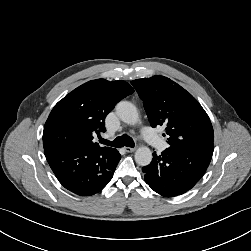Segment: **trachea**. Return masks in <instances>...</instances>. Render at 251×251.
Segmentation results:
<instances>
[{
  "instance_id": "3493384b",
  "label": "trachea",
  "mask_w": 251,
  "mask_h": 251,
  "mask_svg": "<svg viewBox=\"0 0 251 251\" xmlns=\"http://www.w3.org/2000/svg\"><path fill=\"white\" fill-rule=\"evenodd\" d=\"M99 142L108 146H112V147H123V146H127V147H134L135 143L133 141V139L124 134L122 136L117 137L114 141H109V140H105L103 138H99Z\"/></svg>"
}]
</instances>
